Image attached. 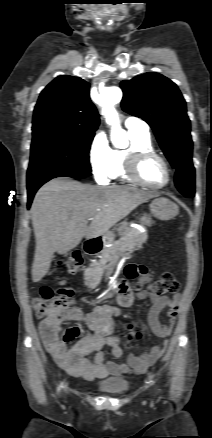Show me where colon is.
Returning <instances> with one entry per match:
<instances>
[{
	"instance_id": "5ec220e1",
	"label": "colon",
	"mask_w": 212,
	"mask_h": 438,
	"mask_svg": "<svg viewBox=\"0 0 212 438\" xmlns=\"http://www.w3.org/2000/svg\"><path fill=\"white\" fill-rule=\"evenodd\" d=\"M83 263V256L79 251H72L64 256L59 264L66 267L69 273H75L79 270ZM179 283L175 276L166 272L163 273L152 285L151 291L153 295L165 296L177 292ZM73 298V291L70 288L63 287L59 289V296H55L50 287H42L39 297L36 300L35 306L37 315L43 320L53 322L58 326L61 323L60 311L63 306ZM78 327H71L63 332V339L66 342L74 340L79 335Z\"/></svg>"
}]
</instances>
